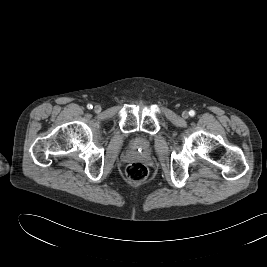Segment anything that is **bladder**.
Returning <instances> with one entry per match:
<instances>
[{"label":"bladder","instance_id":"bladder-1","mask_svg":"<svg viewBox=\"0 0 267 267\" xmlns=\"http://www.w3.org/2000/svg\"><path fill=\"white\" fill-rule=\"evenodd\" d=\"M134 148L136 149H140V150H143V151H146L148 148H149V144L142 140V139H138L134 142L133 144Z\"/></svg>","mask_w":267,"mask_h":267}]
</instances>
